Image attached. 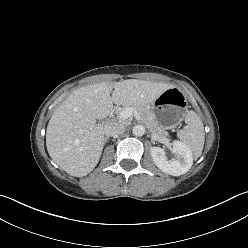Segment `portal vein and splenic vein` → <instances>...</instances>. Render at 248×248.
I'll list each match as a JSON object with an SVG mask.
<instances>
[{
    "instance_id": "portal-vein-and-splenic-vein-1",
    "label": "portal vein and splenic vein",
    "mask_w": 248,
    "mask_h": 248,
    "mask_svg": "<svg viewBox=\"0 0 248 248\" xmlns=\"http://www.w3.org/2000/svg\"><path fill=\"white\" fill-rule=\"evenodd\" d=\"M120 118L123 119V120H126L128 119L129 117L131 116H135L136 118L138 117V113H137V110L132 108V107H128V108H125L123 109L121 112H120Z\"/></svg>"
}]
</instances>
